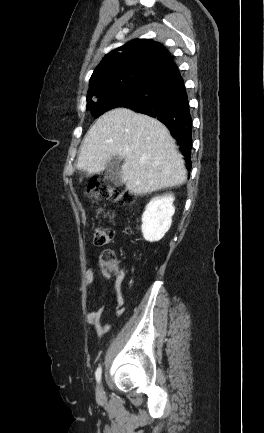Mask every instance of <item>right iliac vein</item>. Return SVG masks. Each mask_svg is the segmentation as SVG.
<instances>
[{"mask_svg": "<svg viewBox=\"0 0 264 433\" xmlns=\"http://www.w3.org/2000/svg\"><path fill=\"white\" fill-rule=\"evenodd\" d=\"M96 394L99 398L103 396V388L100 384L96 388Z\"/></svg>", "mask_w": 264, "mask_h": 433, "instance_id": "63e3f726", "label": "right iliac vein"}]
</instances>
